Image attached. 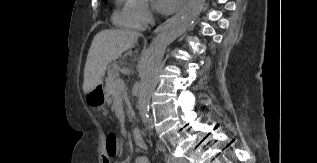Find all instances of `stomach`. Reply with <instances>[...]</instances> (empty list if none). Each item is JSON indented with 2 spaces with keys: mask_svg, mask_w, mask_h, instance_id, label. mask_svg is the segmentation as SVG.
<instances>
[{
  "mask_svg": "<svg viewBox=\"0 0 317 163\" xmlns=\"http://www.w3.org/2000/svg\"><path fill=\"white\" fill-rule=\"evenodd\" d=\"M85 100L90 107H103L108 101V95L103 84L97 85L92 91L87 93Z\"/></svg>",
  "mask_w": 317,
  "mask_h": 163,
  "instance_id": "1",
  "label": "stomach"
}]
</instances>
